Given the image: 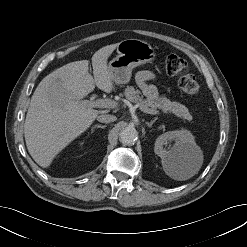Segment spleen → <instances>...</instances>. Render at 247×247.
I'll return each mask as SVG.
<instances>
[{
    "label": "spleen",
    "mask_w": 247,
    "mask_h": 247,
    "mask_svg": "<svg viewBox=\"0 0 247 247\" xmlns=\"http://www.w3.org/2000/svg\"><path fill=\"white\" fill-rule=\"evenodd\" d=\"M179 161H181V160H179ZM174 169L168 168V172H169L170 176H172L176 179H179V180H185V179L190 178L191 176H193L195 174V172H193V173H190L189 175H180L178 173V171H176Z\"/></svg>",
    "instance_id": "obj_1"
}]
</instances>
